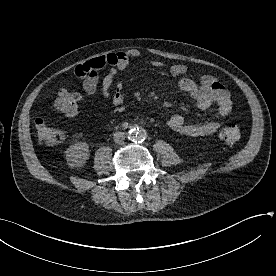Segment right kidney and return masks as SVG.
Wrapping results in <instances>:
<instances>
[{
  "mask_svg": "<svg viewBox=\"0 0 276 276\" xmlns=\"http://www.w3.org/2000/svg\"><path fill=\"white\" fill-rule=\"evenodd\" d=\"M89 158V146L85 142H76L66 150V159L71 167L83 166Z\"/></svg>",
  "mask_w": 276,
  "mask_h": 276,
  "instance_id": "1",
  "label": "right kidney"
}]
</instances>
